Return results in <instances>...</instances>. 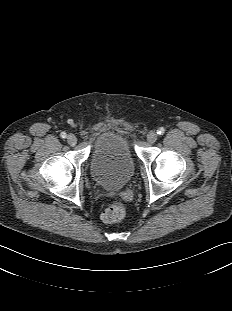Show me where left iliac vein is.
Masks as SVG:
<instances>
[{"label":"left iliac vein","mask_w":232,"mask_h":311,"mask_svg":"<svg viewBox=\"0 0 232 311\" xmlns=\"http://www.w3.org/2000/svg\"><path fill=\"white\" fill-rule=\"evenodd\" d=\"M157 137H158V135H157V133L155 131H150L147 134V141H148V143H150V144L155 143L156 140H157Z\"/></svg>","instance_id":"obj_1"}]
</instances>
